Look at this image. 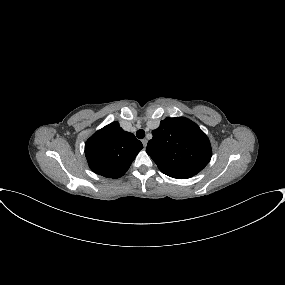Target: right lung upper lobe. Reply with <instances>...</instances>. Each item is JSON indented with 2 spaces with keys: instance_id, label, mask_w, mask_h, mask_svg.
Returning <instances> with one entry per match:
<instances>
[{
  "instance_id": "obj_1",
  "label": "right lung upper lobe",
  "mask_w": 285,
  "mask_h": 285,
  "mask_svg": "<svg viewBox=\"0 0 285 285\" xmlns=\"http://www.w3.org/2000/svg\"><path fill=\"white\" fill-rule=\"evenodd\" d=\"M142 148V143L134 134L124 131L118 122H113L87 140L85 156L93 172L116 179L126 173Z\"/></svg>"
}]
</instances>
